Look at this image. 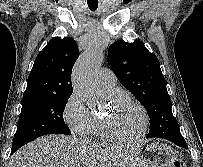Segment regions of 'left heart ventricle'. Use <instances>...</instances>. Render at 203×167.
Returning <instances> with one entry per match:
<instances>
[{"instance_id": "left-heart-ventricle-1", "label": "left heart ventricle", "mask_w": 203, "mask_h": 167, "mask_svg": "<svg viewBox=\"0 0 203 167\" xmlns=\"http://www.w3.org/2000/svg\"><path fill=\"white\" fill-rule=\"evenodd\" d=\"M104 116L109 119L112 132L122 138H133L142 127L141 112L125 100L113 101Z\"/></svg>"}]
</instances>
